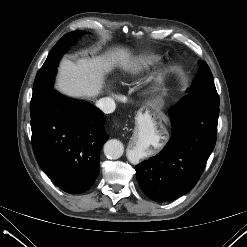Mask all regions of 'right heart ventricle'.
Returning <instances> with one entry per match:
<instances>
[{"mask_svg":"<svg viewBox=\"0 0 247 247\" xmlns=\"http://www.w3.org/2000/svg\"><path fill=\"white\" fill-rule=\"evenodd\" d=\"M159 58L160 57L156 54H144L130 64L128 67V73L130 75L142 73L154 66L158 62Z\"/></svg>","mask_w":247,"mask_h":247,"instance_id":"e07e8e85","label":"right heart ventricle"}]
</instances>
